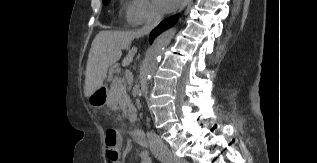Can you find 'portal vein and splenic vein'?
Wrapping results in <instances>:
<instances>
[{
	"label": "portal vein and splenic vein",
	"mask_w": 317,
	"mask_h": 163,
	"mask_svg": "<svg viewBox=\"0 0 317 163\" xmlns=\"http://www.w3.org/2000/svg\"><path fill=\"white\" fill-rule=\"evenodd\" d=\"M113 82L116 83V84L121 83L119 79H114Z\"/></svg>",
	"instance_id": "obj_1"
}]
</instances>
